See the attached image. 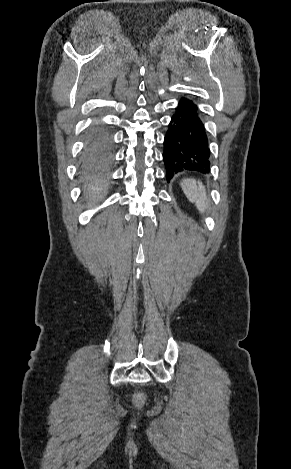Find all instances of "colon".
<instances>
[{
    "instance_id": "obj_1",
    "label": "colon",
    "mask_w": 291,
    "mask_h": 469,
    "mask_svg": "<svg viewBox=\"0 0 291 469\" xmlns=\"http://www.w3.org/2000/svg\"><path fill=\"white\" fill-rule=\"evenodd\" d=\"M136 402L141 404L143 402V397L141 395L136 396Z\"/></svg>"
}]
</instances>
